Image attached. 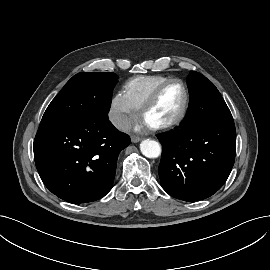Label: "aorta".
<instances>
[{
  "mask_svg": "<svg viewBox=\"0 0 270 270\" xmlns=\"http://www.w3.org/2000/svg\"><path fill=\"white\" fill-rule=\"evenodd\" d=\"M141 153L147 158H157L161 154V146L155 140L144 139L140 143Z\"/></svg>",
  "mask_w": 270,
  "mask_h": 270,
  "instance_id": "762f6f07",
  "label": "aorta"
}]
</instances>
